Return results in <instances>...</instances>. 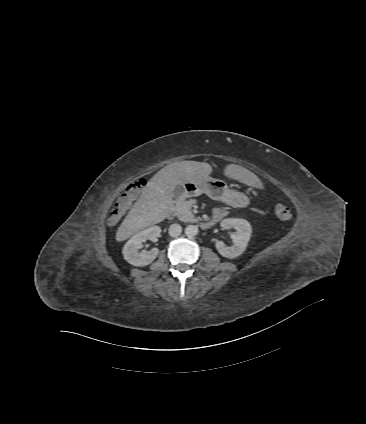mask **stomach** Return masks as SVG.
I'll return each mask as SVG.
<instances>
[{"label":"stomach","instance_id":"stomach-1","mask_svg":"<svg viewBox=\"0 0 366 424\" xmlns=\"http://www.w3.org/2000/svg\"><path fill=\"white\" fill-rule=\"evenodd\" d=\"M183 195L199 196L206 194L213 200H219L229 206H237V199H241L243 203H248V198L245 194L232 191L228 188L223 180L206 177L195 182H184L181 186Z\"/></svg>","mask_w":366,"mask_h":424}]
</instances>
